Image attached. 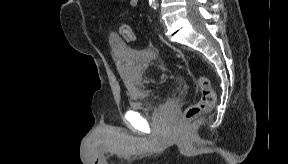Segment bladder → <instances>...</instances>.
Wrapping results in <instances>:
<instances>
[{
    "label": "bladder",
    "instance_id": "obj_1",
    "mask_svg": "<svg viewBox=\"0 0 288 164\" xmlns=\"http://www.w3.org/2000/svg\"><path fill=\"white\" fill-rule=\"evenodd\" d=\"M109 43L117 66L121 68L130 85L129 109L147 114L158 108L163 100L143 77V70L151 57L130 48L118 37H110Z\"/></svg>",
    "mask_w": 288,
    "mask_h": 164
}]
</instances>
